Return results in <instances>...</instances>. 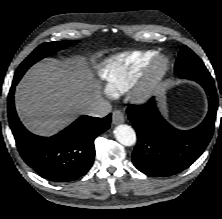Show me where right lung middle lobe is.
Masks as SVG:
<instances>
[{"instance_id": "obj_1", "label": "right lung middle lobe", "mask_w": 222, "mask_h": 219, "mask_svg": "<svg viewBox=\"0 0 222 219\" xmlns=\"http://www.w3.org/2000/svg\"><path fill=\"white\" fill-rule=\"evenodd\" d=\"M70 45L69 41L43 43L38 46L18 67L14 80L19 81L27 69L42 58Z\"/></svg>"}]
</instances>
